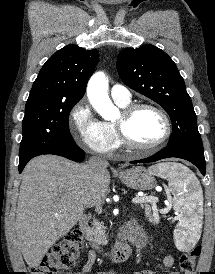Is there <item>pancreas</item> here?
Masks as SVG:
<instances>
[{"label":"pancreas","mask_w":215,"mask_h":274,"mask_svg":"<svg viewBox=\"0 0 215 274\" xmlns=\"http://www.w3.org/2000/svg\"><path fill=\"white\" fill-rule=\"evenodd\" d=\"M158 202V199H155L154 202H149L145 204H141V207L145 210L146 216L150 219L152 222H157L155 212H157L156 209V203ZM106 227H104L102 222H99L98 220L94 219L92 222V226L89 228L88 238L92 242H96L101 245L107 244V235H106Z\"/></svg>","instance_id":"1"}]
</instances>
